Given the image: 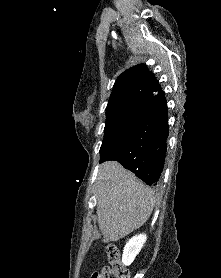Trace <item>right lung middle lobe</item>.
<instances>
[{"mask_svg": "<svg viewBox=\"0 0 221 278\" xmlns=\"http://www.w3.org/2000/svg\"><path fill=\"white\" fill-rule=\"evenodd\" d=\"M153 111V108L145 103H132L106 112L100 158L132 134Z\"/></svg>", "mask_w": 221, "mask_h": 278, "instance_id": "obj_1", "label": "right lung middle lobe"}]
</instances>
